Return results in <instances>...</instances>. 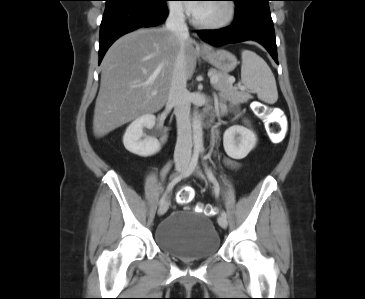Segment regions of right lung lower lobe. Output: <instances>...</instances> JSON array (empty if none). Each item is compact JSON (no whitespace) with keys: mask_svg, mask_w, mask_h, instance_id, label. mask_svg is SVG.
Segmentation results:
<instances>
[{"mask_svg":"<svg viewBox=\"0 0 365 299\" xmlns=\"http://www.w3.org/2000/svg\"><path fill=\"white\" fill-rule=\"evenodd\" d=\"M167 15L165 0H136L106 5L100 25L99 64L119 37L139 27L157 26L164 22Z\"/></svg>","mask_w":365,"mask_h":299,"instance_id":"right-lung-lower-lobe-1","label":"right lung lower lobe"}]
</instances>
